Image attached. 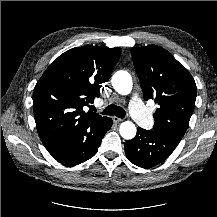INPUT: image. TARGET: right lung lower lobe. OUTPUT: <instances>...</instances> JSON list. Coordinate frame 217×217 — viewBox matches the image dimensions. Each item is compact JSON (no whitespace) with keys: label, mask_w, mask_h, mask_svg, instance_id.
<instances>
[{"label":"right lung lower lobe","mask_w":217,"mask_h":217,"mask_svg":"<svg viewBox=\"0 0 217 217\" xmlns=\"http://www.w3.org/2000/svg\"><path fill=\"white\" fill-rule=\"evenodd\" d=\"M112 119L106 117L100 124L94 126L78 141L60 147L48 149V152L64 165H77L93 157L98 151L101 140L111 128Z\"/></svg>","instance_id":"1"}]
</instances>
